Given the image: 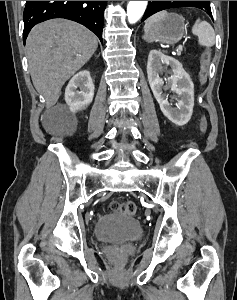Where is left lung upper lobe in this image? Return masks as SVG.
<instances>
[{"label": "left lung upper lobe", "mask_w": 237, "mask_h": 300, "mask_svg": "<svg viewBox=\"0 0 237 300\" xmlns=\"http://www.w3.org/2000/svg\"><path fill=\"white\" fill-rule=\"evenodd\" d=\"M178 7H196L202 9L208 14L211 12L209 1H149L147 10L145 11L141 21H144L156 12ZM210 16L212 18V15Z\"/></svg>", "instance_id": "obj_1"}]
</instances>
